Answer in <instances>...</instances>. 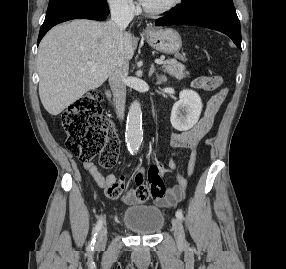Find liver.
Segmentation results:
<instances>
[{
    "label": "liver",
    "instance_id": "liver-1",
    "mask_svg": "<svg viewBox=\"0 0 286 269\" xmlns=\"http://www.w3.org/2000/svg\"><path fill=\"white\" fill-rule=\"evenodd\" d=\"M135 50L133 36L123 33L122 44L112 21L73 20L51 29L37 56L39 96L46 111L60 114L112 75L117 63H129Z\"/></svg>",
    "mask_w": 286,
    "mask_h": 269
}]
</instances>
